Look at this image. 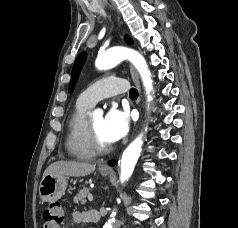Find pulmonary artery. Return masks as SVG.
I'll list each match as a JSON object with an SVG mask.
<instances>
[{
    "instance_id": "e3ab8cb5",
    "label": "pulmonary artery",
    "mask_w": 238,
    "mask_h": 228,
    "mask_svg": "<svg viewBox=\"0 0 238 228\" xmlns=\"http://www.w3.org/2000/svg\"><path fill=\"white\" fill-rule=\"evenodd\" d=\"M127 88L128 85L124 79L109 76L90 85L80 94L79 100L89 106H93L101 99L126 92Z\"/></svg>"
}]
</instances>
